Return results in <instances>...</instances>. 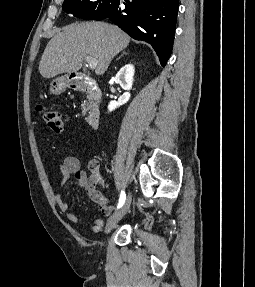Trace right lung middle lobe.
<instances>
[{"label":"right lung middle lobe","instance_id":"1","mask_svg":"<svg viewBox=\"0 0 255 287\" xmlns=\"http://www.w3.org/2000/svg\"><path fill=\"white\" fill-rule=\"evenodd\" d=\"M120 0H64L63 10L82 19L102 20L117 9Z\"/></svg>","mask_w":255,"mask_h":287}]
</instances>
